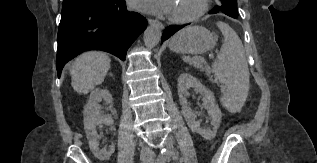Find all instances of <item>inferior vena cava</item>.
Returning <instances> with one entry per match:
<instances>
[{
	"label": "inferior vena cava",
	"mask_w": 317,
	"mask_h": 163,
	"mask_svg": "<svg viewBox=\"0 0 317 163\" xmlns=\"http://www.w3.org/2000/svg\"><path fill=\"white\" fill-rule=\"evenodd\" d=\"M141 153L144 156H153V152L150 149H148V148H143Z\"/></svg>",
	"instance_id": "obj_1"
}]
</instances>
